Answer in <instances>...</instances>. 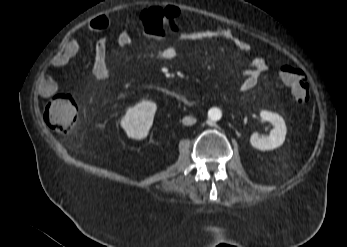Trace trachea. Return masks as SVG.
Returning a JSON list of instances; mask_svg holds the SVG:
<instances>
[{"instance_id": "trachea-1", "label": "trachea", "mask_w": 347, "mask_h": 247, "mask_svg": "<svg viewBox=\"0 0 347 247\" xmlns=\"http://www.w3.org/2000/svg\"><path fill=\"white\" fill-rule=\"evenodd\" d=\"M223 246H225V247H226V246H227V247H230V245H223Z\"/></svg>"}]
</instances>
